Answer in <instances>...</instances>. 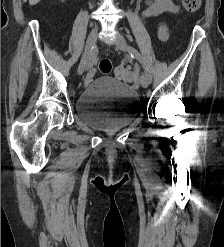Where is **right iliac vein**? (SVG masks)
I'll return each mask as SVG.
<instances>
[{
  "label": "right iliac vein",
  "instance_id": "1",
  "mask_svg": "<svg viewBox=\"0 0 224 247\" xmlns=\"http://www.w3.org/2000/svg\"><path fill=\"white\" fill-rule=\"evenodd\" d=\"M97 34H98V27L95 26L89 36H88V39H87V42H86V46H85V52H84V55L81 59V62L78 66V74L81 75L85 69H86V66L92 56V50L93 48L95 47V44H96V40H97Z\"/></svg>",
  "mask_w": 224,
  "mask_h": 247
}]
</instances>
